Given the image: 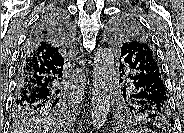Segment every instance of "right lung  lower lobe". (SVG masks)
<instances>
[{
	"label": "right lung lower lobe",
	"mask_w": 184,
	"mask_h": 133,
	"mask_svg": "<svg viewBox=\"0 0 184 133\" xmlns=\"http://www.w3.org/2000/svg\"><path fill=\"white\" fill-rule=\"evenodd\" d=\"M49 27L64 38L56 53L45 51L36 36L26 41L16 70L15 105H40L52 97H66L67 57L73 45V26L59 10L44 15L34 29Z\"/></svg>",
	"instance_id": "98d812e1"
}]
</instances>
